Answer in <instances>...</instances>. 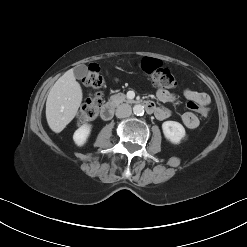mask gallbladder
Listing matches in <instances>:
<instances>
[{"instance_id":"gallbladder-1","label":"gallbladder","mask_w":247,"mask_h":247,"mask_svg":"<svg viewBox=\"0 0 247 247\" xmlns=\"http://www.w3.org/2000/svg\"><path fill=\"white\" fill-rule=\"evenodd\" d=\"M88 72V69L85 65H79L74 68V75L77 78L83 77Z\"/></svg>"}]
</instances>
